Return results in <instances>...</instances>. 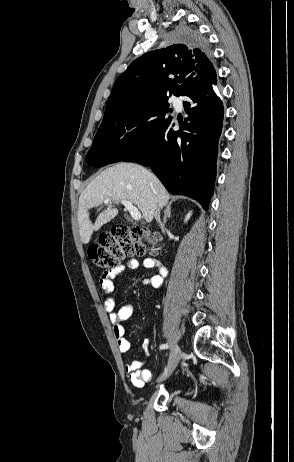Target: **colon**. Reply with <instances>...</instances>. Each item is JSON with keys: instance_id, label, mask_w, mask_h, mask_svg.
I'll return each instance as SVG.
<instances>
[{"instance_id": "obj_1", "label": "colon", "mask_w": 294, "mask_h": 462, "mask_svg": "<svg viewBox=\"0 0 294 462\" xmlns=\"http://www.w3.org/2000/svg\"><path fill=\"white\" fill-rule=\"evenodd\" d=\"M148 235L141 227L114 226L100 241L90 246L88 255L100 270L109 271L125 257L145 254L147 248L140 239Z\"/></svg>"}]
</instances>
